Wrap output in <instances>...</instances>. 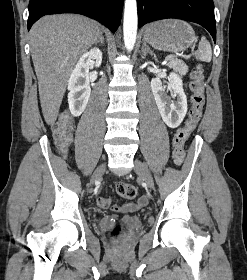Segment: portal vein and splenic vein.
Returning <instances> with one entry per match:
<instances>
[{
    "instance_id": "portal-vein-and-splenic-vein-1",
    "label": "portal vein and splenic vein",
    "mask_w": 247,
    "mask_h": 280,
    "mask_svg": "<svg viewBox=\"0 0 247 280\" xmlns=\"http://www.w3.org/2000/svg\"><path fill=\"white\" fill-rule=\"evenodd\" d=\"M176 56L175 55H170V56H168V60H172V59H174Z\"/></svg>"
}]
</instances>
